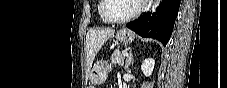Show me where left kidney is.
Returning a JSON list of instances; mask_svg holds the SVG:
<instances>
[{
  "instance_id": "obj_1",
  "label": "left kidney",
  "mask_w": 227,
  "mask_h": 88,
  "mask_svg": "<svg viewBox=\"0 0 227 88\" xmlns=\"http://www.w3.org/2000/svg\"><path fill=\"white\" fill-rule=\"evenodd\" d=\"M155 61L152 58H147L141 65V70L145 76H150L153 72Z\"/></svg>"
}]
</instances>
